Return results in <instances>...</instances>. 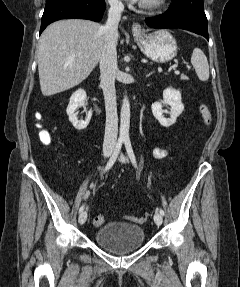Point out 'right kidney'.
<instances>
[{"label":"right kidney","mask_w":240,"mask_h":287,"mask_svg":"<svg viewBox=\"0 0 240 287\" xmlns=\"http://www.w3.org/2000/svg\"><path fill=\"white\" fill-rule=\"evenodd\" d=\"M86 92L83 89H78L70 97L69 104L67 106L66 112L69 117V121L72 123L75 129L83 130L85 129L92 117V111L89 110L85 120H78L76 110L80 106H86Z\"/></svg>","instance_id":"right-kidney-1"}]
</instances>
